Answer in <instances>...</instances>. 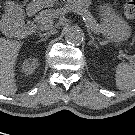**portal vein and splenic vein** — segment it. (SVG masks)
I'll return each mask as SVG.
<instances>
[{
	"label": "portal vein and splenic vein",
	"mask_w": 135,
	"mask_h": 135,
	"mask_svg": "<svg viewBox=\"0 0 135 135\" xmlns=\"http://www.w3.org/2000/svg\"><path fill=\"white\" fill-rule=\"evenodd\" d=\"M50 23H53V21H50ZM44 29V28H43ZM92 31H94V30H92ZM121 52V51H120ZM123 56L125 57V58H127L130 62H132V60H133V57L132 56H128V55H126V54H123Z\"/></svg>",
	"instance_id": "18ae733b"
}]
</instances>
